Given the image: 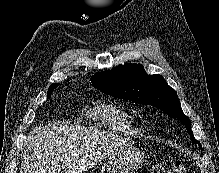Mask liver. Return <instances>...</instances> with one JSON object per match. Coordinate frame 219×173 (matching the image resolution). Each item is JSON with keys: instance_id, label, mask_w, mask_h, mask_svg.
Wrapping results in <instances>:
<instances>
[{"instance_id": "liver-1", "label": "liver", "mask_w": 219, "mask_h": 173, "mask_svg": "<svg viewBox=\"0 0 219 173\" xmlns=\"http://www.w3.org/2000/svg\"><path fill=\"white\" fill-rule=\"evenodd\" d=\"M125 142L97 128L67 123L35 128L20 173H83Z\"/></svg>"}]
</instances>
